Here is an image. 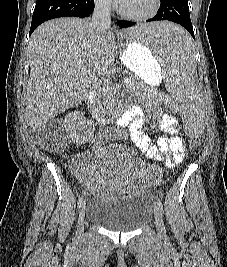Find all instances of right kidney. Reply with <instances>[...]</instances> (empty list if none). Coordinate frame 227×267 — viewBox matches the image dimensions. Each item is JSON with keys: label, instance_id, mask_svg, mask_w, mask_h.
<instances>
[{"label": "right kidney", "instance_id": "1", "mask_svg": "<svg viewBox=\"0 0 227 267\" xmlns=\"http://www.w3.org/2000/svg\"><path fill=\"white\" fill-rule=\"evenodd\" d=\"M64 126L67 136L77 144L89 142L94 135V122L87 120L80 111L69 113L65 117Z\"/></svg>", "mask_w": 227, "mask_h": 267}]
</instances>
